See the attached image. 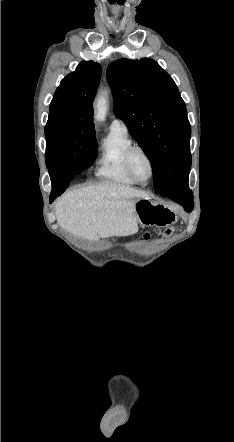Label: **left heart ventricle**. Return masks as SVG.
Masks as SVG:
<instances>
[{"mask_svg": "<svg viewBox=\"0 0 234 442\" xmlns=\"http://www.w3.org/2000/svg\"><path fill=\"white\" fill-rule=\"evenodd\" d=\"M132 169L137 178L143 182L147 181L151 174L148 159L141 152H135L131 159Z\"/></svg>", "mask_w": 234, "mask_h": 442, "instance_id": "b2bd125f", "label": "left heart ventricle"}]
</instances>
